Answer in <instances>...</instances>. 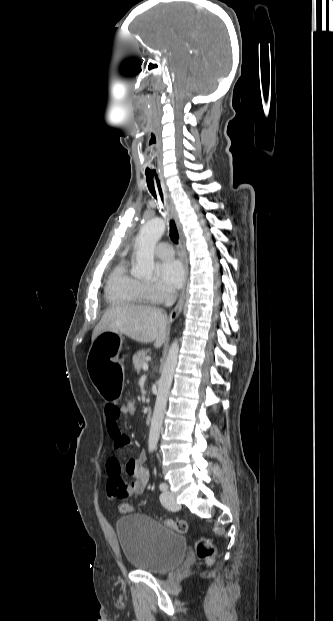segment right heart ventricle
Returning a JSON list of instances; mask_svg holds the SVG:
<instances>
[{
  "instance_id": "1",
  "label": "right heart ventricle",
  "mask_w": 333,
  "mask_h": 621,
  "mask_svg": "<svg viewBox=\"0 0 333 621\" xmlns=\"http://www.w3.org/2000/svg\"><path fill=\"white\" fill-rule=\"evenodd\" d=\"M111 304L142 305L148 302L143 282L133 276L126 260H120L112 269L105 288Z\"/></svg>"
}]
</instances>
